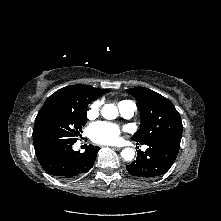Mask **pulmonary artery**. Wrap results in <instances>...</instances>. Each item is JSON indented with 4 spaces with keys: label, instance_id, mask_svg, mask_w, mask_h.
I'll return each mask as SVG.
<instances>
[{
    "label": "pulmonary artery",
    "instance_id": "1",
    "mask_svg": "<svg viewBox=\"0 0 221 221\" xmlns=\"http://www.w3.org/2000/svg\"><path fill=\"white\" fill-rule=\"evenodd\" d=\"M118 107L122 116H124L125 118H131L136 111V105L132 101H126L124 103H121L118 105ZM145 148L146 147L143 146V149Z\"/></svg>",
    "mask_w": 221,
    "mask_h": 221
}]
</instances>
